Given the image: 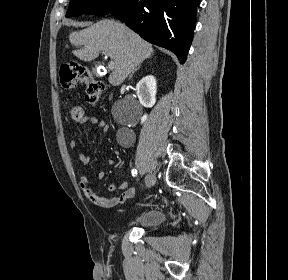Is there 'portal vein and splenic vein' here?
Returning <instances> with one entry per match:
<instances>
[{"label": "portal vein and splenic vein", "instance_id": "18ae733b", "mask_svg": "<svg viewBox=\"0 0 288 280\" xmlns=\"http://www.w3.org/2000/svg\"><path fill=\"white\" fill-rule=\"evenodd\" d=\"M103 54L107 57L108 56V53L107 52H103ZM108 68L110 69V70H113L114 69V62L113 61H110L109 63H108Z\"/></svg>", "mask_w": 288, "mask_h": 280}]
</instances>
